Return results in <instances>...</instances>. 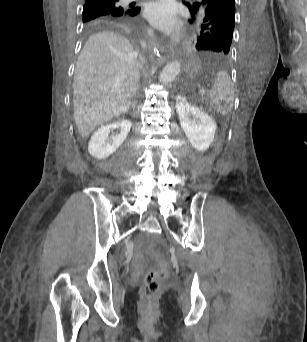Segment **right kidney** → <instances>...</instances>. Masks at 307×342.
Masks as SVG:
<instances>
[{
    "label": "right kidney",
    "instance_id": "1",
    "mask_svg": "<svg viewBox=\"0 0 307 342\" xmlns=\"http://www.w3.org/2000/svg\"><path fill=\"white\" fill-rule=\"evenodd\" d=\"M131 126L130 120H119V122L101 126V128H98L93 136H91L88 146L89 154L94 156V158H97V160L108 158V156H111V154L123 144L124 140H126L131 130ZM115 128H120V134L109 138L111 130H115Z\"/></svg>",
    "mask_w": 307,
    "mask_h": 342
}]
</instances>
